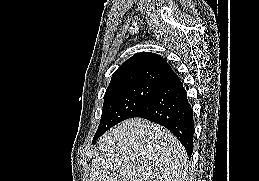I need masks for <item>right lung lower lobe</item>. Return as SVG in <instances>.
Wrapping results in <instances>:
<instances>
[{
	"label": "right lung lower lobe",
	"mask_w": 259,
	"mask_h": 181,
	"mask_svg": "<svg viewBox=\"0 0 259 181\" xmlns=\"http://www.w3.org/2000/svg\"><path fill=\"white\" fill-rule=\"evenodd\" d=\"M133 117L144 118L166 127L179 139L188 155L192 154L193 110L188 103L186 91L174 72L159 84L155 94ZM100 136L94 137L93 142Z\"/></svg>",
	"instance_id": "98d812e1"
}]
</instances>
